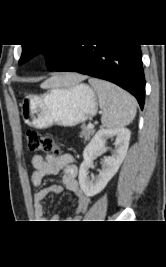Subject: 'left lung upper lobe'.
Segmentation results:
<instances>
[{"mask_svg": "<svg viewBox=\"0 0 166 267\" xmlns=\"http://www.w3.org/2000/svg\"><path fill=\"white\" fill-rule=\"evenodd\" d=\"M66 45H22L23 51L19 60V65L25 63L33 56L44 52L48 58V69L52 68L59 61Z\"/></svg>", "mask_w": 166, "mask_h": 267, "instance_id": "left-lung-upper-lobe-1", "label": "left lung upper lobe"}]
</instances>
